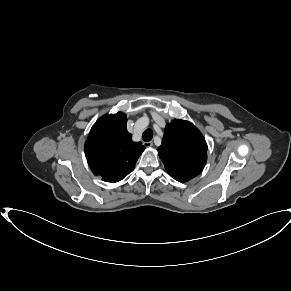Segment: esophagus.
Instances as JSON below:
<instances>
[{
    "label": "esophagus",
    "mask_w": 291,
    "mask_h": 291,
    "mask_svg": "<svg viewBox=\"0 0 291 291\" xmlns=\"http://www.w3.org/2000/svg\"><path fill=\"white\" fill-rule=\"evenodd\" d=\"M143 145H144L146 148H149V147H152V146H153V142H152V141H149V142H143Z\"/></svg>",
    "instance_id": "esophagus-1"
}]
</instances>
